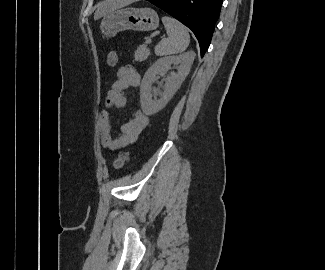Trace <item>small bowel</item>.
<instances>
[{
    "label": "small bowel",
    "mask_w": 325,
    "mask_h": 270,
    "mask_svg": "<svg viewBox=\"0 0 325 270\" xmlns=\"http://www.w3.org/2000/svg\"><path fill=\"white\" fill-rule=\"evenodd\" d=\"M139 84L140 75L137 71L131 66H124L118 70L117 80L107 92L104 109L98 119L101 145L107 151L114 152L132 144L149 123L148 116L141 110H136L133 116L120 127L119 136L113 138L111 135L112 124L108 109L125 107L127 103L125 91Z\"/></svg>",
    "instance_id": "small-bowel-1"
}]
</instances>
